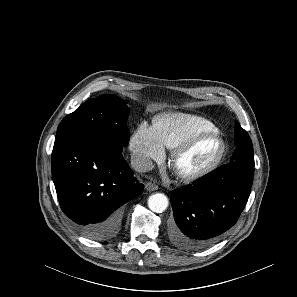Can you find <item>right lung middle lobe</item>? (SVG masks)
<instances>
[{"mask_svg":"<svg viewBox=\"0 0 297 297\" xmlns=\"http://www.w3.org/2000/svg\"><path fill=\"white\" fill-rule=\"evenodd\" d=\"M128 115L129 108L116 95L103 94L89 99L61 121L55 142L88 136H106L122 146L127 145Z\"/></svg>","mask_w":297,"mask_h":297,"instance_id":"right-lung-middle-lobe-1","label":"right lung middle lobe"}]
</instances>
